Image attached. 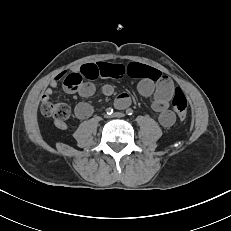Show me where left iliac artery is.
<instances>
[{"instance_id": "obj_1", "label": "left iliac artery", "mask_w": 231, "mask_h": 231, "mask_svg": "<svg viewBox=\"0 0 231 231\" xmlns=\"http://www.w3.org/2000/svg\"><path fill=\"white\" fill-rule=\"evenodd\" d=\"M133 113L134 112H133V110L131 108L126 110V114L129 115V116L133 115Z\"/></svg>"}]
</instances>
